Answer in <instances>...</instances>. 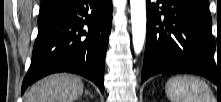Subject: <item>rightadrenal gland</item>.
I'll return each mask as SVG.
<instances>
[{"label": "right adrenal gland", "mask_w": 221, "mask_h": 102, "mask_svg": "<svg viewBox=\"0 0 221 102\" xmlns=\"http://www.w3.org/2000/svg\"><path fill=\"white\" fill-rule=\"evenodd\" d=\"M85 95H89L91 98H93V95L90 94V92H88V91H85Z\"/></svg>", "instance_id": "right-adrenal-gland-1"}]
</instances>
